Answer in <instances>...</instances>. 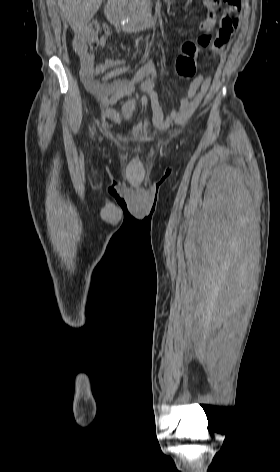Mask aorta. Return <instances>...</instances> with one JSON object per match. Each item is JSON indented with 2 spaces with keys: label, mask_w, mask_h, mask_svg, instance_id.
<instances>
[{
  "label": "aorta",
  "mask_w": 280,
  "mask_h": 472,
  "mask_svg": "<svg viewBox=\"0 0 280 472\" xmlns=\"http://www.w3.org/2000/svg\"><path fill=\"white\" fill-rule=\"evenodd\" d=\"M127 19H124V22H126ZM128 21V20H127Z\"/></svg>",
  "instance_id": "obj_1"
}]
</instances>
